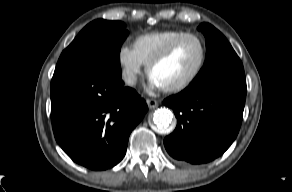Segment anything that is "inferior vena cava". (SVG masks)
Returning <instances> with one entry per match:
<instances>
[{"label": "inferior vena cava", "instance_id": "obj_1", "mask_svg": "<svg viewBox=\"0 0 292 192\" xmlns=\"http://www.w3.org/2000/svg\"><path fill=\"white\" fill-rule=\"evenodd\" d=\"M124 80L128 85L133 86L136 84L137 77L135 75L131 74V75L125 76Z\"/></svg>", "mask_w": 292, "mask_h": 192}]
</instances>
